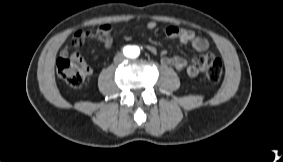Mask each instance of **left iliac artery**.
I'll return each mask as SVG.
<instances>
[{
    "label": "left iliac artery",
    "instance_id": "1",
    "mask_svg": "<svg viewBox=\"0 0 283 162\" xmlns=\"http://www.w3.org/2000/svg\"><path fill=\"white\" fill-rule=\"evenodd\" d=\"M137 52H138V50H137V49H135V54H137Z\"/></svg>",
    "mask_w": 283,
    "mask_h": 162
}]
</instances>
